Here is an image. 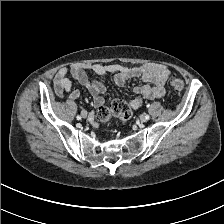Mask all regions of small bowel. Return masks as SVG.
<instances>
[{
  "label": "small bowel",
  "instance_id": "obj_1",
  "mask_svg": "<svg viewBox=\"0 0 224 224\" xmlns=\"http://www.w3.org/2000/svg\"><path fill=\"white\" fill-rule=\"evenodd\" d=\"M87 70H91L97 75L113 74L114 82L117 86L123 87L128 79H139L145 84L132 88L136 94L129 101L128 106L132 110H137L142 106L144 99H156L165 96L164 84L169 76V69L161 64L148 63L140 66L128 67L120 64H73L70 67L59 69L54 78V88L57 96L62 97L64 93H69L71 99H78L79 90H72V84L67 75L70 73L74 79L84 86L93 96L95 107H100L104 103L103 95L106 87L97 80L89 79Z\"/></svg>",
  "mask_w": 224,
  "mask_h": 224
}]
</instances>
